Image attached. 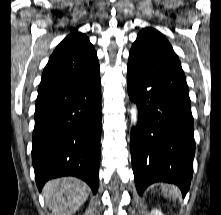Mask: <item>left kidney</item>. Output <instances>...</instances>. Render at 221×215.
Returning <instances> with one entry per match:
<instances>
[{
	"label": "left kidney",
	"instance_id": "obj_1",
	"mask_svg": "<svg viewBox=\"0 0 221 215\" xmlns=\"http://www.w3.org/2000/svg\"><path fill=\"white\" fill-rule=\"evenodd\" d=\"M151 215H164V214L158 209H153L151 211Z\"/></svg>",
	"mask_w": 221,
	"mask_h": 215
}]
</instances>
